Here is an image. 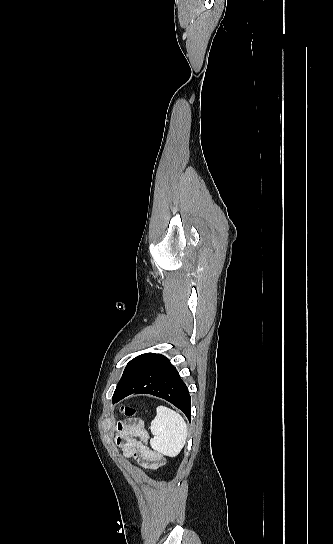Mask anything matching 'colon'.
<instances>
[{
    "label": "colon",
    "mask_w": 333,
    "mask_h": 544,
    "mask_svg": "<svg viewBox=\"0 0 333 544\" xmlns=\"http://www.w3.org/2000/svg\"><path fill=\"white\" fill-rule=\"evenodd\" d=\"M120 411L127 418H133L137 413V410L132 406H122Z\"/></svg>",
    "instance_id": "5ec220e1"
}]
</instances>
